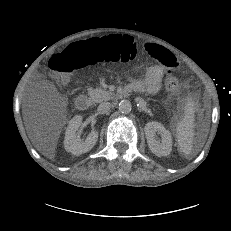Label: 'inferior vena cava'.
Here are the masks:
<instances>
[{
  "instance_id": "obj_1",
  "label": "inferior vena cava",
  "mask_w": 231,
  "mask_h": 231,
  "mask_svg": "<svg viewBox=\"0 0 231 231\" xmlns=\"http://www.w3.org/2000/svg\"><path fill=\"white\" fill-rule=\"evenodd\" d=\"M111 104L109 102H102L99 104L97 111L99 114H105L110 110Z\"/></svg>"
}]
</instances>
